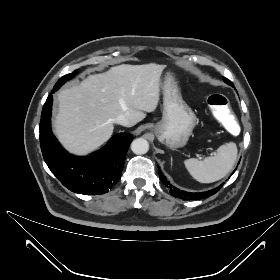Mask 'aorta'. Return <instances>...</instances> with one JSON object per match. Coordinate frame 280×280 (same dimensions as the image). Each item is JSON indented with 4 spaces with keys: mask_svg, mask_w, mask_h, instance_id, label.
<instances>
[{
    "mask_svg": "<svg viewBox=\"0 0 280 280\" xmlns=\"http://www.w3.org/2000/svg\"><path fill=\"white\" fill-rule=\"evenodd\" d=\"M131 150L133 153L138 154V155L145 154L149 150V143L144 138H137L132 141Z\"/></svg>",
    "mask_w": 280,
    "mask_h": 280,
    "instance_id": "1",
    "label": "aorta"
}]
</instances>
